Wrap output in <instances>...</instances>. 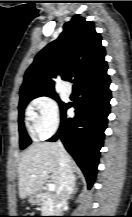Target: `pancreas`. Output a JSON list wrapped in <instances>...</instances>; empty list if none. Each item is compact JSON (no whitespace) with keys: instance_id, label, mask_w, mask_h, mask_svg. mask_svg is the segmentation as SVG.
I'll return each mask as SVG.
<instances>
[{"instance_id":"obj_1","label":"pancreas","mask_w":132,"mask_h":217,"mask_svg":"<svg viewBox=\"0 0 132 217\" xmlns=\"http://www.w3.org/2000/svg\"><path fill=\"white\" fill-rule=\"evenodd\" d=\"M55 208L54 200L51 196H47L45 200H43L41 204L42 215L53 213Z\"/></svg>"}]
</instances>
